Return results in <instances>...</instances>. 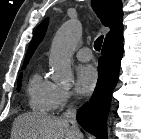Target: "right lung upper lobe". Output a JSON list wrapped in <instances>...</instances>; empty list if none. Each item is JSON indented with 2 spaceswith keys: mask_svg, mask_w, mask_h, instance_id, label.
<instances>
[{
  "mask_svg": "<svg viewBox=\"0 0 141 139\" xmlns=\"http://www.w3.org/2000/svg\"><path fill=\"white\" fill-rule=\"evenodd\" d=\"M92 7L96 13H98L104 26L110 27V32L105 38V42L115 39L122 35V3L121 0H92ZM48 25V20H44L35 30L33 39L27 50L24 64L27 65L30 58L32 57L35 49L42 41L46 28Z\"/></svg>",
  "mask_w": 141,
  "mask_h": 139,
  "instance_id": "obj_1",
  "label": "right lung upper lobe"
}]
</instances>
